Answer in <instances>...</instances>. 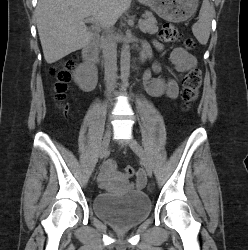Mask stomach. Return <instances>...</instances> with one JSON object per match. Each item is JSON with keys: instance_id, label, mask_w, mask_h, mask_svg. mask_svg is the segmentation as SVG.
<instances>
[{"instance_id": "stomach-1", "label": "stomach", "mask_w": 248, "mask_h": 250, "mask_svg": "<svg viewBox=\"0 0 248 250\" xmlns=\"http://www.w3.org/2000/svg\"><path fill=\"white\" fill-rule=\"evenodd\" d=\"M163 19L178 23L189 19L197 10L199 0H139Z\"/></svg>"}]
</instances>
